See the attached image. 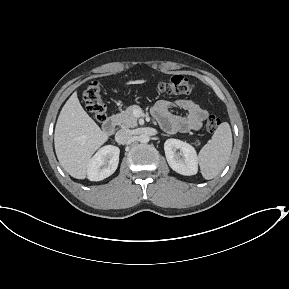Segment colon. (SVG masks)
Masks as SVG:
<instances>
[{
    "instance_id": "1",
    "label": "colon",
    "mask_w": 289,
    "mask_h": 289,
    "mask_svg": "<svg viewBox=\"0 0 289 289\" xmlns=\"http://www.w3.org/2000/svg\"><path fill=\"white\" fill-rule=\"evenodd\" d=\"M155 89L159 93L170 95H188L193 91V84L182 75L172 76L156 84ZM83 98L87 109L98 121L105 119L106 105L102 99L101 86L98 82L92 81L86 87ZM220 126V119L214 115L208 116L205 122V129L214 132Z\"/></svg>"
}]
</instances>
